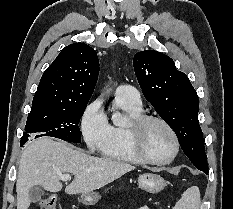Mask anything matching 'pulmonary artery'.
<instances>
[{"label":"pulmonary artery","instance_id":"pulmonary-artery-1","mask_svg":"<svg viewBox=\"0 0 233 209\" xmlns=\"http://www.w3.org/2000/svg\"><path fill=\"white\" fill-rule=\"evenodd\" d=\"M116 98L133 105H141L140 94L138 90L128 84L120 85L116 89Z\"/></svg>","mask_w":233,"mask_h":209}]
</instances>
